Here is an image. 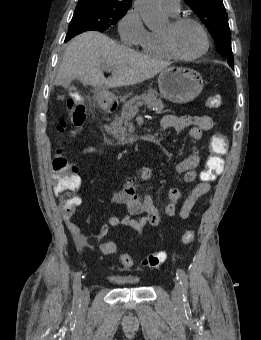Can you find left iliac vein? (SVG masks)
Returning a JSON list of instances; mask_svg holds the SVG:
<instances>
[{
  "label": "left iliac vein",
  "mask_w": 261,
  "mask_h": 340,
  "mask_svg": "<svg viewBox=\"0 0 261 340\" xmlns=\"http://www.w3.org/2000/svg\"><path fill=\"white\" fill-rule=\"evenodd\" d=\"M182 297V286L179 281L175 282L174 288L172 290V299L175 302H179Z\"/></svg>",
  "instance_id": "1"
}]
</instances>
